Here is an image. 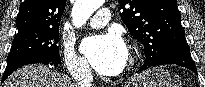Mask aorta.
<instances>
[{"label":"aorta","mask_w":205,"mask_h":87,"mask_svg":"<svg viewBox=\"0 0 205 87\" xmlns=\"http://www.w3.org/2000/svg\"><path fill=\"white\" fill-rule=\"evenodd\" d=\"M104 2L105 0H76L71 11L74 26L77 28L82 27Z\"/></svg>","instance_id":"obj_1"}]
</instances>
